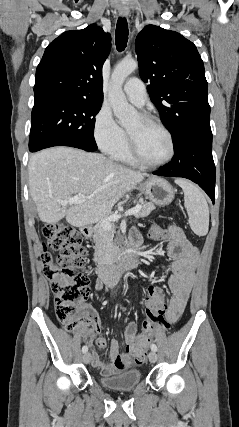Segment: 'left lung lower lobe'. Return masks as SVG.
<instances>
[{
  "mask_svg": "<svg viewBox=\"0 0 239 427\" xmlns=\"http://www.w3.org/2000/svg\"><path fill=\"white\" fill-rule=\"evenodd\" d=\"M172 161L153 172L155 175L183 177L198 184L215 201V165L212 133H192L174 147Z\"/></svg>",
  "mask_w": 239,
  "mask_h": 427,
  "instance_id": "0a47b994",
  "label": "left lung lower lobe"
}]
</instances>
